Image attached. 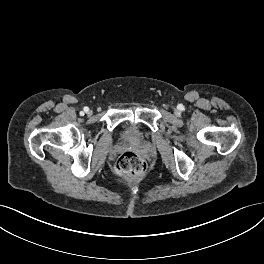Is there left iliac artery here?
I'll return each instance as SVG.
<instances>
[{
	"instance_id": "44dca946",
	"label": "left iliac artery",
	"mask_w": 264,
	"mask_h": 264,
	"mask_svg": "<svg viewBox=\"0 0 264 264\" xmlns=\"http://www.w3.org/2000/svg\"><path fill=\"white\" fill-rule=\"evenodd\" d=\"M180 109H181V110H183V109H184V107H183L182 105H180Z\"/></svg>"
}]
</instances>
